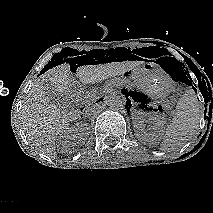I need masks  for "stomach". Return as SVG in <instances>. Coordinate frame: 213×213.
Segmentation results:
<instances>
[{"instance_id": "1", "label": "stomach", "mask_w": 213, "mask_h": 213, "mask_svg": "<svg viewBox=\"0 0 213 213\" xmlns=\"http://www.w3.org/2000/svg\"><path fill=\"white\" fill-rule=\"evenodd\" d=\"M124 74L151 98L164 100L173 91L172 80L154 62H144Z\"/></svg>"}]
</instances>
